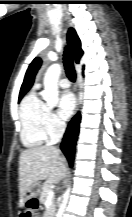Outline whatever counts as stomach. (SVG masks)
<instances>
[{
    "mask_svg": "<svg viewBox=\"0 0 132 217\" xmlns=\"http://www.w3.org/2000/svg\"><path fill=\"white\" fill-rule=\"evenodd\" d=\"M40 193H41L40 183L36 182V183L32 184L30 186V188L26 191L23 199H21L22 204L31 198H37L40 195Z\"/></svg>",
    "mask_w": 132,
    "mask_h": 217,
    "instance_id": "obj_1",
    "label": "stomach"
}]
</instances>
